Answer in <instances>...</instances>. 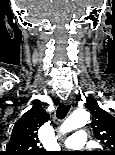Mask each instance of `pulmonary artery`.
I'll use <instances>...</instances> for the list:
<instances>
[{
  "instance_id": "e3ab8cb5",
  "label": "pulmonary artery",
  "mask_w": 115,
  "mask_h": 155,
  "mask_svg": "<svg viewBox=\"0 0 115 155\" xmlns=\"http://www.w3.org/2000/svg\"><path fill=\"white\" fill-rule=\"evenodd\" d=\"M87 142V134L84 130H78L66 138L63 145L68 149H81Z\"/></svg>"
}]
</instances>
